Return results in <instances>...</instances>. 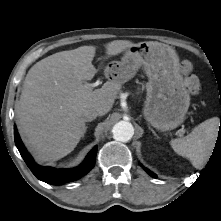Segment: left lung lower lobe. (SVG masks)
<instances>
[{"mask_svg":"<svg viewBox=\"0 0 221 221\" xmlns=\"http://www.w3.org/2000/svg\"><path fill=\"white\" fill-rule=\"evenodd\" d=\"M218 142H220V144H221V139H219V141ZM145 170H146V172L148 173V174H150L152 177H157L153 172H151L150 170H148V169H146L145 168Z\"/></svg>","mask_w":221,"mask_h":221,"instance_id":"0a47b994","label":"left lung lower lobe"}]
</instances>
